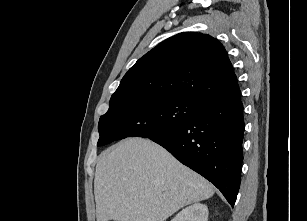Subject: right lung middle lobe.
<instances>
[{"instance_id":"1","label":"right lung middle lobe","mask_w":307,"mask_h":221,"mask_svg":"<svg viewBox=\"0 0 307 221\" xmlns=\"http://www.w3.org/2000/svg\"><path fill=\"white\" fill-rule=\"evenodd\" d=\"M201 105L178 98L137 96L110 103L98 123L97 146L126 137H152L187 123Z\"/></svg>"}]
</instances>
